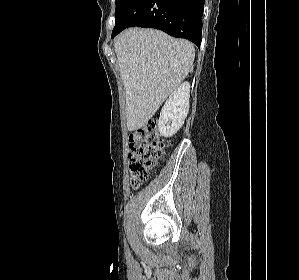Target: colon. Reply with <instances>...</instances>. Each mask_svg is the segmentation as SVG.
I'll list each match as a JSON object with an SVG mask.
<instances>
[{
  "label": "colon",
  "instance_id": "obj_1",
  "mask_svg": "<svg viewBox=\"0 0 299 280\" xmlns=\"http://www.w3.org/2000/svg\"><path fill=\"white\" fill-rule=\"evenodd\" d=\"M165 142L155 121L148 122L129 138L131 184L138 188L145 182L163 157Z\"/></svg>",
  "mask_w": 299,
  "mask_h": 280
}]
</instances>
